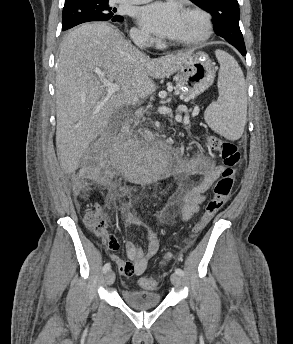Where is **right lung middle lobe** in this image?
I'll list each match as a JSON object with an SVG mask.
<instances>
[{
  "mask_svg": "<svg viewBox=\"0 0 293 344\" xmlns=\"http://www.w3.org/2000/svg\"><path fill=\"white\" fill-rule=\"evenodd\" d=\"M109 0H77L65 3L62 13V30L89 21H118L116 9L109 7Z\"/></svg>",
  "mask_w": 293,
  "mask_h": 344,
  "instance_id": "obj_1",
  "label": "right lung middle lobe"
}]
</instances>
